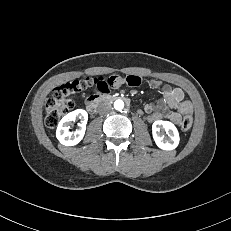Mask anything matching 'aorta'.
Returning <instances> with one entry per match:
<instances>
[{
  "mask_svg": "<svg viewBox=\"0 0 231 231\" xmlns=\"http://www.w3.org/2000/svg\"><path fill=\"white\" fill-rule=\"evenodd\" d=\"M114 108L118 111H121L124 108V102L120 99L114 102Z\"/></svg>",
  "mask_w": 231,
  "mask_h": 231,
  "instance_id": "aorta-1",
  "label": "aorta"
}]
</instances>
